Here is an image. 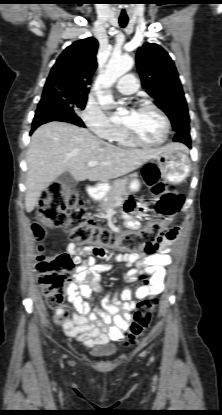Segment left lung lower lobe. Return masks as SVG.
<instances>
[{
	"label": "left lung lower lobe",
	"instance_id": "left-lung-lower-lobe-1",
	"mask_svg": "<svg viewBox=\"0 0 222 415\" xmlns=\"http://www.w3.org/2000/svg\"><path fill=\"white\" fill-rule=\"evenodd\" d=\"M174 141L186 144L191 148V138L188 130H181L176 133Z\"/></svg>",
	"mask_w": 222,
	"mask_h": 415
}]
</instances>
